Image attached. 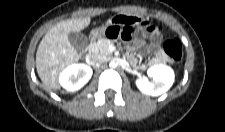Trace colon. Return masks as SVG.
Instances as JSON below:
<instances>
[{
  "label": "colon",
  "mask_w": 225,
  "mask_h": 132,
  "mask_svg": "<svg viewBox=\"0 0 225 132\" xmlns=\"http://www.w3.org/2000/svg\"><path fill=\"white\" fill-rule=\"evenodd\" d=\"M140 32L139 27L131 26H111L107 33L111 38L121 39L124 41L132 40ZM163 49L171 61L180 63L182 59V45L177 38H168L163 43Z\"/></svg>",
  "instance_id": "colon-1"
}]
</instances>
